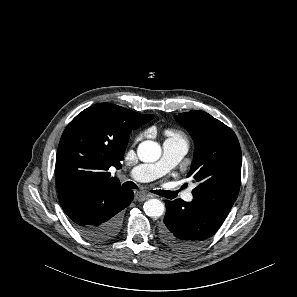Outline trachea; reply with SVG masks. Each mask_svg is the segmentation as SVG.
Instances as JSON below:
<instances>
[{"mask_svg":"<svg viewBox=\"0 0 297 297\" xmlns=\"http://www.w3.org/2000/svg\"><path fill=\"white\" fill-rule=\"evenodd\" d=\"M123 186L127 187V188H131V189H137L138 188L137 185L132 181L124 182ZM153 192L158 194V195H161L163 197L173 199V198H175L177 196L179 191L156 190V191H153Z\"/></svg>","mask_w":297,"mask_h":297,"instance_id":"1","label":"trachea"}]
</instances>
